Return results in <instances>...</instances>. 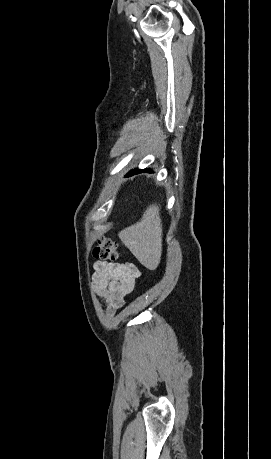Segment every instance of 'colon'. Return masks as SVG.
I'll use <instances>...</instances> for the list:
<instances>
[{"instance_id": "1", "label": "colon", "mask_w": 271, "mask_h": 459, "mask_svg": "<svg viewBox=\"0 0 271 459\" xmlns=\"http://www.w3.org/2000/svg\"><path fill=\"white\" fill-rule=\"evenodd\" d=\"M93 255L103 261L116 260L118 257L117 244L111 239L101 238L94 247Z\"/></svg>"}]
</instances>
